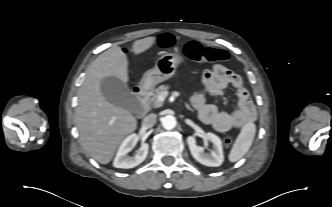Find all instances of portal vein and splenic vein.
<instances>
[{
    "mask_svg": "<svg viewBox=\"0 0 332 207\" xmlns=\"http://www.w3.org/2000/svg\"><path fill=\"white\" fill-rule=\"evenodd\" d=\"M164 97H165V95L163 94V95H161L160 97H159V101L160 102H162L163 100H164Z\"/></svg>",
    "mask_w": 332,
    "mask_h": 207,
    "instance_id": "obj_1",
    "label": "portal vein and splenic vein"
}]
</instances>
